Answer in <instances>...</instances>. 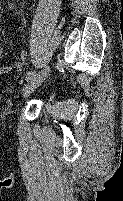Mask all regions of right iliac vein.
Listing matches in <instances>:
<instances>
[{
	"instance_id": "1",
	"label": "right iliac vein",
	"mask_w": 123,
	"mask_h": 201,
	"mask_svg": "<svg viewBox=\"0 0 123 201\" xmlns=\"http://www.w3.org/2000/svg\"><path fill=\"white\" fill-rule=\"evenodd\" d=\"M49 71V66H46L41 72L29 80L23 89V99H26L47 78Z\"/></svg>"
}]
</instances>
